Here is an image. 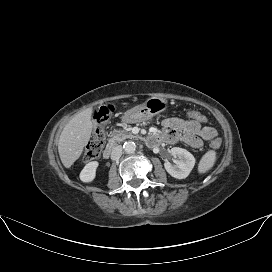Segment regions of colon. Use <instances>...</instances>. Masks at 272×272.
<instances>
[{
	"instance_id": "obj_1",
	"label": "colon",
	"mask_w": 272,
	"mask_h": 272,
	"mask_svg": "<svg viewBox=\"0 0 272 272\" xmlns=\"http://www.w3.org/2000/svg\"><path fill=\"white\" fill-rule=\"evenodd\" d=\"M112 112L113 107L110 105L101 106L96 110L94 114L95 129L93 138L89 141L83 153V160L85 162L92 161L100 156L106 141L105 125ZM185 118L198 122H205L207 120L206 116L199 111H188L185 113ZM220 145L221 140L219 138L211 141V147L214 149L219 148Z\"/></svg>"
}]
</instances>
